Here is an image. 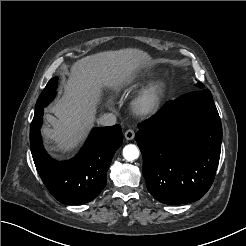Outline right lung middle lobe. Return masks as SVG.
I'll return each mask as SVG.
<instances>
[{"instance_id":"1","label":"right lung middle lobe","mask_w":246,"mask_h":246,"mask_svg":"<svg viewBox=\"0 0 246 246\" xmlns=\"http://www.w3.org/2000/svg\"><path fill=\"white\" fill-rule=\"evenodd\" d=\"M58 77L52 78L40 94L35 109L46 107L56 95Z\"/></svg>"}]
</instances>
